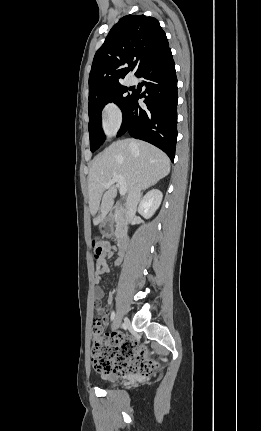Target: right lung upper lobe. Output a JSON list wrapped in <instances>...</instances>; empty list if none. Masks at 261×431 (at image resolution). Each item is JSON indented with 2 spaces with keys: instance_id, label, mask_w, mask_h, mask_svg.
I'll list each match as a JSON object with an SVG mask.
<instances>
[{
  "instance_id": "1",
  "label": "right lung upper lobe",
  "mask_w": 261,
  "mask_h": 431,
  "mask_svg": "<svg viewBox=\"0 0 261 431\" xmlns=\"http://www.w3.org/2000/svg\"><path fill=\"white\" fill-rule=\"evenodd\" d=\"M159 21L145 15H127L110 30L97 50L89 75V95L120 83L135 65L138 72L168 48Z\"/></svg>"
}]
</instances>
